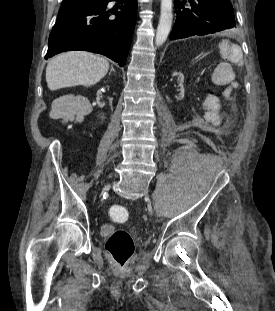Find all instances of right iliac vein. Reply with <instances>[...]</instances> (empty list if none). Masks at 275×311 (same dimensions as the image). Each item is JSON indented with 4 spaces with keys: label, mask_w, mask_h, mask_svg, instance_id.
<instances>
[{
    "label": "right iliac vein",
    "mask_w": 275,
    "mask_h": 311,
    "mask_svg": "<svg viewBox=\"0 0 275 311\" xmlns=\"http://www.w3.org/2000/svg\"><path fill=\"white\" fill-rule=\"evenodd\" d=\"M108 186H109V185H106L105 188H104V190H105Z\"/></svg>",
    "instance_id": "obj_1"
}]
</instances>
